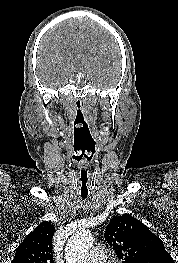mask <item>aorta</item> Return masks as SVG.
Returning <instances> with one entry per match:
<instances>
[{"label":"aorta","instance_id":"762f6f07","mask_svg":"<svg viewBox=\"0 0 178 263\" xmlns=\"http://www.w3.org/2000/svg\"><path fill=\"white\" fill-rule=\"evenodd\" d=\"M93 241L94 237L89 231L76 232L69 239L65 249L66 263H86Z\"/></svg>","mask_w":178,"mask_h":263}]
</instances>
